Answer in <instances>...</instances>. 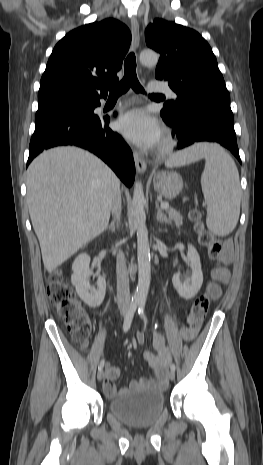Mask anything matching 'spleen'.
Segmentation results:
<instances>
[{
	"label": "spleen",
	"mask_w": 263,
	"mask_h": 465,
	"mask_svg": "<svg viewBox=\"0 0 263 465\" xmlns=\"http://www.w3.org/2000/svg\"><path fill=\"white\" fill-rule=\"evenodd\" d=\"M201 158L206 161L201 176L207 204L206 225L214 234L225 236L237 225L241 200L239 173L230 155L217 144L198 143L178 152L165 165L178 167Z\"/></svg>",
	"instance_id": "spleen-1"
}]
</instances>
